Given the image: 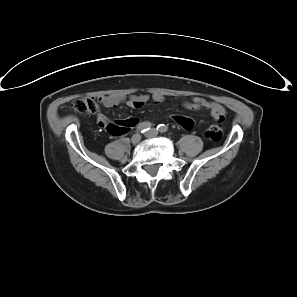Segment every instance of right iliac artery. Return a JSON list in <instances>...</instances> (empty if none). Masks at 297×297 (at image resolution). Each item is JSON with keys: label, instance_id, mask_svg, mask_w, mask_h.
Listing matches in <instances>:
<instances>
[{"label": "right iliac artery", "instance_id": "82829eb1", "mask_svg": "<svg viewBox=\"0 0 297 297\" xmlns=\"http://www.w3.org/2000/svg\"><path fill=\"white\" fill-rule=\"evenodd\" d=\"M152 124L150 122H142L137 126V131L144 133L151 128Z\"/></svg>", "mask_w": 297, "mask_h": 297}]
</instances>
